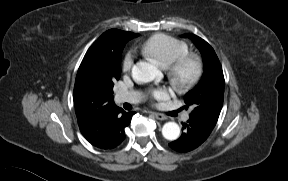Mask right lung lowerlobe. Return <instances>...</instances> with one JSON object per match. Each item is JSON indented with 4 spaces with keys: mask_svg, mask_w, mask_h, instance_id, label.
Listing matches in <instances>:
<instances>
[{
    "mask_svg": "<svg viewBox=\"0 0 288 181\" xmlns=\"http://www.w3.org/2000/svg\"><path fill=\"white\" fill-rule=\"evenodd\" d=\"M135 112H125L123 109L118 112V116L115 119V130L116 136L113 141V144L110 148L118 146L125 138V127H127L131 122V117Z\"/></svg>",
    "mask_w": 288,
    "mask_h": 181,
    "instance_id": "obj_1",
    "label": "right lung lower lobe"
}]
</instances>
